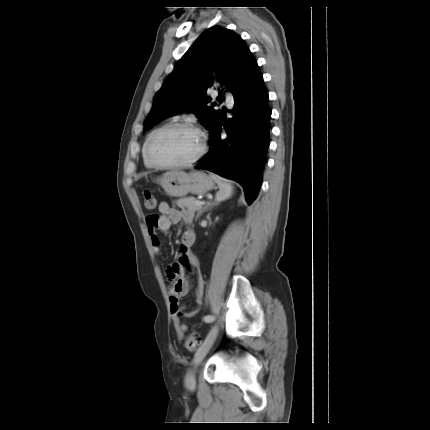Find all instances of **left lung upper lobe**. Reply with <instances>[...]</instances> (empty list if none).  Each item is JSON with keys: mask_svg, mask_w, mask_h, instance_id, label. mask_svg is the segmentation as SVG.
Wrapping results in <instances>:
<instances>
[{"mask_svg": "<svg viewBox=\"0 0 430 430\" xmlns=\"http://www.w3.org/2000/svg\"><path fill=\"white\" fill-rule=\"evenodd\" d=\"M259 70L242 38L235 32L213 26L204 31L176 63L156 93L146 117L145 129L180 111H192L209 128L221 113L209 105L207 90L218 82L233 94L243 79L249 81ZM222 100V91L217 97Z\"/></svg>", "mask_w": 430, "mask_h": 430, "instance_id": "left-lung-upper-lobe-1", "label": "left lung upper lobe"}]
</instances>
